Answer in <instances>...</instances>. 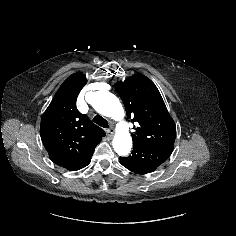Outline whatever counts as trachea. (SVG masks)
<instances>
[{"label":"trachea","mask_w":236,"mask_h":236,"mask_svg":"<svg viewBox=\"0 0 236 236\" xmlns=\"http://www.w3.org/2000/svg\"><path fill=\"white\" fill-rule=\"evenodd\" d=\"M93 121L99 125L100 127H103V128H108L109 125H108V122L106 119H104L102 116L100 115H96L94 118H93Z\"/></svg>","instance_id":"trachea-1"}]
</instances>
